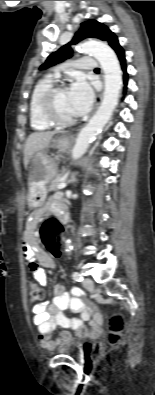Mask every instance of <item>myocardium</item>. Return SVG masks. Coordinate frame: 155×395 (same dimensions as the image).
I'll return each instance as SVG.
<instances>
[{
    "label": "myocardium",
    "mask_w": 155,
    "mask_h": 395,
    "mask_svg": "<svg viewBox=\"0 0 155 395\" xmlns=\"http://www.w3.org/2000/svg\"><path fill=\"white\" fill-rule=\"evenodd\" d=\"M66 90V87L62 84L52 85L48 88L41 96L39 100V111L42 118L51 124L52 126L68 127L75 123V118L72 119H61L59 118L54 110V100L57 93Z\"/></svg>",
    "instance_id": "f54148a6"
}]
</instances>
